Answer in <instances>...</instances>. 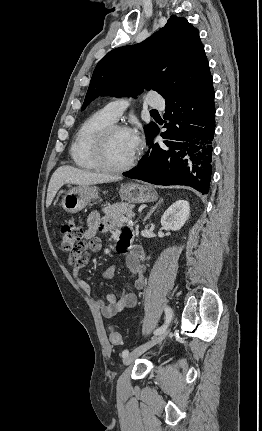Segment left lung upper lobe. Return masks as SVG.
<instances>
[{
	"label": "left lung upper lobe",
	"mask_w": 262,
	"mask_h": 431,
	"mask_svg": "<svg viewBox=\"0 0 262 431\" xmlns=\"http://www.w3.org/2000/svg\"><path fill=\"white\" fill-rule=\"evenodd\" d=\"M210 77L198 30L185 18L173 15L144 42L116 48L99 61L82 109L98 96H135L143 89L155 90L165 100L177 98ZM155 127L153 122L144 127L147 140Z\"/></svg>",
	"instance_id": "5c2ea615"
}]
</instances>
